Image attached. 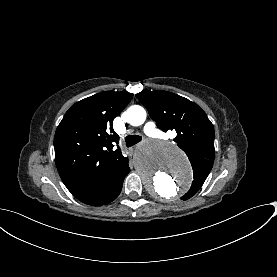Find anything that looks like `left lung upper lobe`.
<instances>
[{
	"instance_id": "5c2ea615",
	"label": "left lung upper lobe",
	"mask_w": 277,
	"mask_h": 277,
	"mask_svg": "<svg viewBox=\"0 0 277 277\" xmlns=\"http://www.w3.org/2000/svg\"><path fill=\"white\" fill-rule=\"evenodd\" d=\"M149 115L163 131L175 130L174 141L188 156L194 174L188 200L201 188L213 166L214 127L206 113L194 102L167 91H142L136 94Z\"/></svg>"
}]
</instances>
